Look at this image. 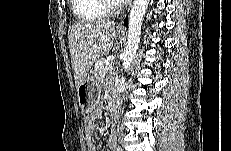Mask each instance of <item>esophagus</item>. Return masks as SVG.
Masks as SVG:
<instances>
[{"label":"esophagus","mask_w":231,"mask_h":151,"mask_svg":"<svg viewBox=\"0 0 231 151\" xmlns=\"http://www.w3.org/2000/svg\"><path fill=\"white\" fill-rule=\"evenodd\" d=\"M118 28H120V29H121V28H122V24H119V25H118Z\"/></svg>","instance_id":"34e87169"}]
</instances>
